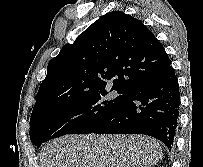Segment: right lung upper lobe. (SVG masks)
I'll return each instance as SVG.
<instances>
[{
    "instance_id": "cb5924a9",
    "label": "right lung upper lobe",
    "mask_w": 203,
    "mask_h": 167,
    "mask_svg": "<svg viewBox=\"0 0 203 167\" xmlns=\"http://www.w3.org/2000/svg\"><path fill=\"white\" fill-rule=\"evenodd\" d=\"M162 44L140 20L120 11L105 14L48 63L33 111L63 98L105 90L124 94L170 68Z\"/></svg>"
}]
</instances>
